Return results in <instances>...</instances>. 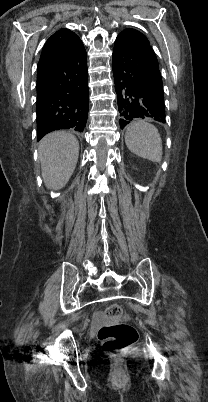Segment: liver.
<instances>
[{
  "label": "liver",
  "instance_id": "1",
  "mask_svg": "<svg viewBox=\"0 0 208 402\" xmlns=\"http://www.w3.org/2000/svg\"><path fill=\"white\" fill-rule=\"evenodd\" d=\"M42 178L48 190H61L70 180L79 156V142L67 132H52L39 144Z\"/></svg>",
  "mask_w": 208,
  "mask_h": 402
}]
</instances>
